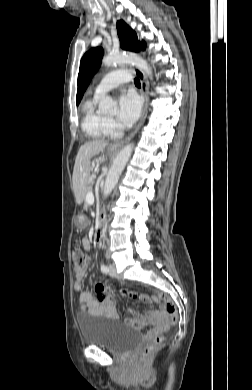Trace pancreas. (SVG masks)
I'll list each match as a JSON object with an SVG mask.
<instances>
[{"label": "pancreas", "mask_w": 252, "mask_h": 390, "mask_svg": "<svg viewBox=\"0 0 252 390\" xmlns=\"http://www.w3.org/2000/svg\"><path fill=\"white\" fill-rule=\"evenodd\" d=\"M81 205H82V209H83V210H86L87 207H88V204H87L85 201H82V202H81Z\"/></svg>", "instance_id": "cf45deb5"}]
</instances>
